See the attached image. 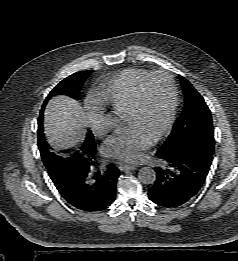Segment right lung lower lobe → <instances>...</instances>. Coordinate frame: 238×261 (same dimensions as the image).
I'll list each match as a JSON object with an SVG mask.
<instances>
[{
    "instance_id": "1",
    "label": "right lung lower lobe",
    "mask_w": 238,
    "mask_h": 261,
    "mask_svg": "<svg viewBox=\"0 0 238 261\" xmlns=\"http://www.w3.org/2000/svg\"><path fill=\"white\" fill-rule=\"evenodd\" d=\"M75 168L66 181L54 183L61 196L73 207L86 212L109 207L116 197V183L120 176L118 168L110 164L105 170L96 171L94 161Z\"/></svg>"
}]
</instances>
